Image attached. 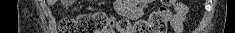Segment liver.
Instances as JSON below:
<instances>
[{
    "label": "liver",
    "instance_id": "liver-1",
    "mask_svg": "<svg viewBox=\"0 0 235 33\" xmlns=\"http://www.w3.org/2000/svg\"><path fill=\"white\" fill-rule=\"evenodd\" d=\"M56 0H47L48 4H53L55 3Z\"/></svg>",
    "mask_w": 235,
    "mask_h": 33
}]
</instances>
